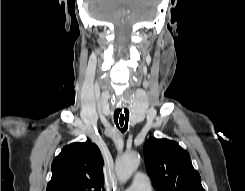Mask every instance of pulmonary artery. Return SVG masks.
<instances>
[{
  "label": "pulmonary artery",
  "instance_id": "obj_1",
  "mask_svg": "<svg viewBox=\"0 0 245 191\" xmlns=\"http://www.w3.org/2000/svg\"><path fill=\"white\" fill-rule=\"evenodd\" d=\"M125 191H152L149 178L142 173H137L131 185Z\"/></svg>",
  "mask_w": 245,
  "mask_h": 191
}]
</instances>
